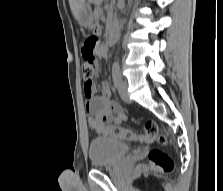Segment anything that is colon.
<instances>
[{
  "instance_id": "obj_1",
  "label": "colon",
  "mask_w": 223,
  "mask_h": 191,
  "mask_svg": "<svg viewBox=\"0 0 223 191\" xmlns=\"http://www.w3.org/2000/svg\"><path fill=\"white\" fill-rule=\"evenodd\" d=\"M100 49V40L96 35H89L82 45L83 63L81 66L82 76L85 83H92L95 69L96 57ZM105 135H109L118 139L126 141L152 143L157 141L160 145L167 144V138L159 133L157 124L154 121H147L145 123L144 134H138L129 129L118 126H109L105 128ZM148 168L157 170L159 172L169 174L174 169V162L172 158L161 149H152L148 154Z\"/></svg>"
}]
</instances>
